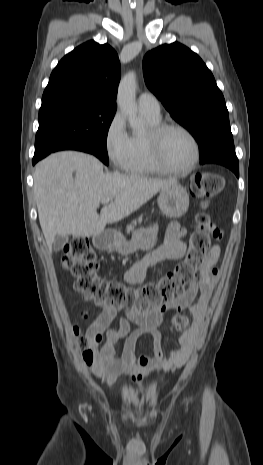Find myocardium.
<instances>
[{"mask_svg":"<svg viewBox=\"0 0 263 465\" xmlns=\"http://www.w3.org/2000/svg\"><path fill=\"white\" fill-rule=\"evenodd\" d=\"M169 130H179L186 134L194 146V158L189 166L185 168H176L169 165L164 156L162 141L164 135ZM146 139L149 145L150 153L155 164L164 172L174 174H186L194 170L200 159V145L195 135L185 126L175 122H161L151 127L146 133Z\"/></svg>","mask_w":263,"mask_h":465,"instance_id":"1","label":"myocardium"}]
</instances>
